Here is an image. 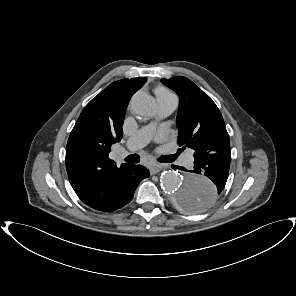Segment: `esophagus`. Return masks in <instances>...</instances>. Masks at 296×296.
Here are the masks:
<instances>
[{
  "mask_svg": "<svg viewBox=\"0 0 296 296\" xmlns=\"http://www.w3.org/2000/svg\"><path fill=\"white\" fill-rule=\"evenodd\" d=\"M167 166L165 164H153L150 166V174H157L160 172L162 169L166 168Z\"/></svg>",
  "mask_w": 296,
  "mask_h": 296,
  "instance_id": "esophagus-1",
  "label": "esophagus"
}]
</instances>
